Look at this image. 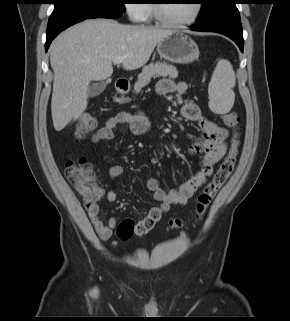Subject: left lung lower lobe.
I'll list each match as a JSON object with an SVG mask.
<instances>
[{
	"label": "left lung lower lobe",
	"mask_w": 290,
	"mask_h": 321,
	"mask_svg": "<svg viewBox=\"0 0 290 321\" xmlns=\"http://www.w3.org/2000/svg\"><path fill=\"white\" fill-rule=\"evenodd\" d=\"M234 3L216 16L197 22L191 26L193 31L217 32L232 39L243 52L244 39L239 11Z\"/></svg>",
	"instance_id": "left-lung-lower-lobe-1"
}]
</instances>
